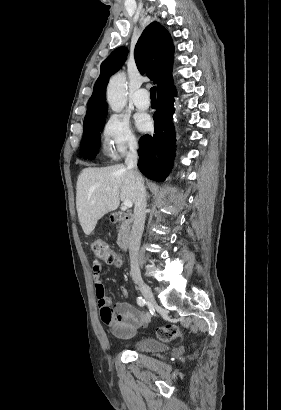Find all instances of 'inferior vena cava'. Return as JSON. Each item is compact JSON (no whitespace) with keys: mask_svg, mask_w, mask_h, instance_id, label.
I'll list each match as a JSON object with an SVG mask.
<instances>
[{"mask_svg":"<svg viewBox=\"0 0 281 410\" xmlns=\"http://www.w3.org/2000/svg\"><path fill=\"white\" fill-rule=\"evenodd\" d=\"M138 145L133 143L130 145V150L127 153L125 164L127 169L132 170L135 175L137 198L134 207V222L129 238V257L131 265V275L134 280L141 279L140 269L138 265V251L140 246L141 236L144 230L146 217V189L144 187L143 178L137 169V154Z\"/></svg>","mask_w":281,"mask_h":410,"instance_id":"inferior-vena-cava-1","label":"inferior vena cava"}]
</instances>
